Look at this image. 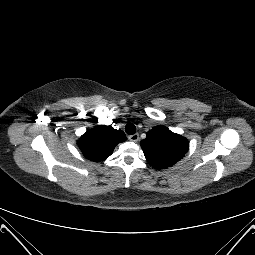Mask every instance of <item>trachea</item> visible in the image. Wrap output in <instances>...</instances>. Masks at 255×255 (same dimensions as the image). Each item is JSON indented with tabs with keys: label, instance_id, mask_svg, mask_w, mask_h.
I'll return each instance as SVG.
<instances>
[{
	"label": "trachea",
	"instance_id": "obj_1",
	"mask_svg": "<svg viewBox=\"0 0 255 255\" xmlns=\"http://www.w3.org/2000/svg\"><path fill=\"white\" fill-rule=\"evenodd\" d=\"M125 132L129 135H133L136 132V126L133 123H128L125 126Z\"/></svg>",
	"mask_w": 255,
	"mask_h": 255
}]
</instances>
